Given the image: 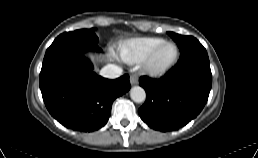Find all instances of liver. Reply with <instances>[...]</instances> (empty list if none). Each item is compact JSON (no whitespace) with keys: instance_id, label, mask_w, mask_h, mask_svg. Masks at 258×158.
I'll use <instances>...</instances> for the list:
<instances>
[{"instance_id":"liver-1","label":"liver","mask_w":258,"mask_h":158,"mask_svg":"<svg viewBox=\"0 0 258 158\" xmlns=\"http://www.w3.org/2000/svg\"><path fill=\"white\" fill-rule=\"evenodd\" d=\"M90 58H91V60H92L93 62L102 61V60H103V58H101V57H94V56H91Z\"/></svg>"}]
</instances>
